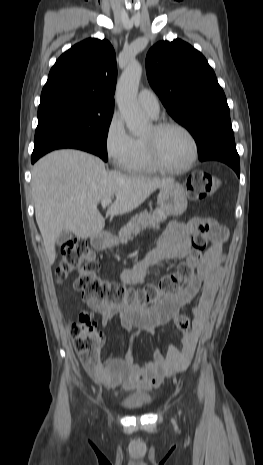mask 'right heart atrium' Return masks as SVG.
Listing matches in <instances>:
<instances>
[{"label": "right heart atrium", "instance_id": "obj_1", "mask_svg": "<svg viewBox=\"0 0 263 465\" xmlns=\"http://www.w3.org/2000/svg\"><path fill=\"white\" fill-rule=\"evenodd\" d=\"M104 148L109 160L120 169H127L134 154V137L127 131L119 113L111 115L104 134Z\"/></svg>", "mask_w": 263, "mask_h": 465}]
</instances>
